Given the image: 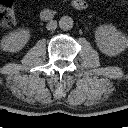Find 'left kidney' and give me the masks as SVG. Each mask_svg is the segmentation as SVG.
<instances>
[{
    "instance_id": "1",
    "label": "left kidney",
    "mask_w": 128,
    "mask_h": 128,
    "mask_svg": "<svg viewBox=\"0 0 128 128\" xmlns=\"http://www.w3.org/2000/svg\"><path fill=\"white\" fill-rule=\"evenodd\" d=\"M95 39L99 50L108 56H116L128 47V38L112 25H100Z\"/></svg>"
}]
</instances>
